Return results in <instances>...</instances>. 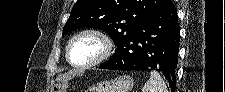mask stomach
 I'll return each instance as SVG.
<instances>
[{
	"instance_id": "0dacf381",
	"label": "stomach",
	"mask_w": 225,
	"mask_h": 92,
	"mask_svg": "<svg viewBox=\"0 0 225 92\" xmlns=\"http://www.w3.org/2000/svg\"><path fill=\"white\" fill-rule=\"evenodd\" d=\"M134 80L130 76H120L111 81H105L96 87L90 88L89 92H130Z\"/></svg>"
}]
</instances>
